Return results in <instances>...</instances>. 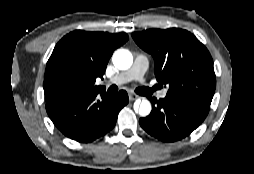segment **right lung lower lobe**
Returning a JSON list of instances; mask_svg holds the SVG:
<instances>
[{
    "mask_svg": "<svg viewBox=\"0 0 254 174\" xmlns=\"http://www.w3.org/2000/svg\"><path fill=\"white\" fill-rule=\"evenodd\" d=\"M128 101L123 90L114 96L105 89L91 90L47 99L46 111L65 136L88 143L113 129L119 111Z\"/></svg>",
    "mask_w": 254,
    "mask_h": 174,
    "instance_id": "obj_1",
    "label": "right lung lower lobe"
}]
</instances>
